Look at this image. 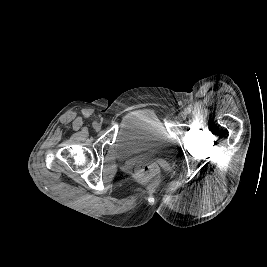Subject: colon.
<instances>
[{"label":"colon","instance_id":"5ec220e1","mask_svg":"<svg viewBox=\"0 0 267 267\" xmlns=\"http://www.w3.org/2000/svg\"><path fill=\"white\" fill-rule=\"evenodd\" d=\"M137 178L148 188L154 189L159 178V168L155 163L143 162L136 166Z\"/></svg>","mask_w":267,"mask_h":267}]
</instances>
